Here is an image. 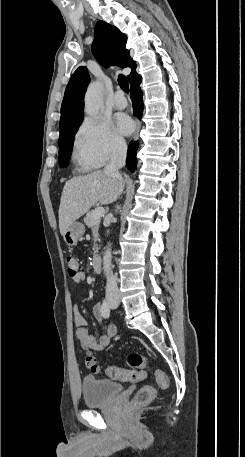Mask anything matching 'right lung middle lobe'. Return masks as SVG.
<instances>
[{"instance_id": "right-lung-middle-lobe-1", "label": "right lung middle lobe", "mask_w": 245, "mask_h": 457, "mask_svg": "<svg viewBox=\"0 0 245 457\" xmlns=\"http://www.w3.org/2000/svg\"><path fill=\"white\" fill-rule=\"evenodd\" d=\"M81 121L67 124L60 127L59 136V164L60 166H67L69 164V156L73 147V139Z\"/></svg>"}]
</instances>
